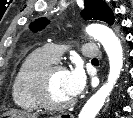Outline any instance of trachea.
<instances>
[{"instance_id":"1","label":"trachea","mask_w":133,"mask_h":118,"mask_svg":"<svg viewBox=\"0 0 133 118\" xmlns=\"http://www.w3.org/2000/svg\"><path fill=\"white\" fill-rule=\"evenodd\" d=\"M92 62H98V59L94 58L92 59Z\"/></svg>"}]
</instances>
